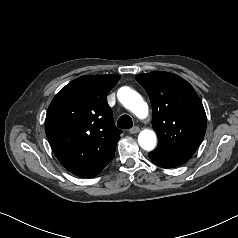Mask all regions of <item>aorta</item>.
I'll list each match as a JSON object with an SVG mask.
<instances>
[{
    "mask_svg": "<svg viewBox=\"0 0 238 238\" xmlns=\"http://www.w3.org/2000/svg\"><path fill=\"white\" fill-rule=\"evenodd\" d=\"M117 97L123 106L138 118L144 119L148 116V105L136 91L129 87H122L118 90ZM138 143L142 149L152 151L157 143L155 132L150 129L142 130L138 135Z\"/></svg>",
    "mask_w": 238,
    "mask_h": 238,
    "instance_id": "1",
    "label": "aorta"
}]
</instances>
